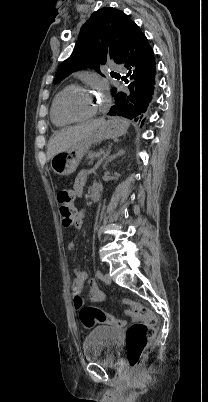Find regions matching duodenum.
Here are the masks:
<instances>
[{
	"instance_id": "410a0bca",
	"label": "duodenum",
	"mask_w": 208,
	"mask_h": 402,
	"mask_svg": "<svg viewBox=\"0 0 208 402\" xmlns=\"http://www.w3.org/2000/svg\"><path fill=\"white\" fill-rule=\"evenodd\" d=\"M100 192H101L100 186L94 185V186L92 187V189H91V197H92V199H93L94 201H97V200L99 199V197H100Z\"/></svg>"
}]
</instances>
